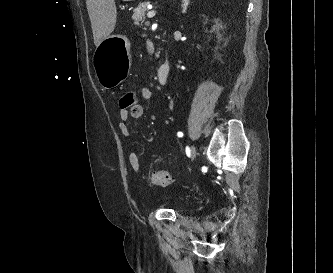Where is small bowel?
<instances>
[{
	"mask_svg": "<svg viewBox=\"0 0 333 273\" xmlns=\"http://www.w3.org/2000/svg\"><path fill=\"white\" fill-rule=\"evenodd\" d=\"M141 97L145 101H150L153 98V91L149 87H143L141 89ZM144 114V107L139 102H135L133 104L132 109H120L119 110V121L117 124V128L119 133L123 137L129 136V129L127 126V122L130 118H141ZM128 163L131 169L137 174L141 173V165L139 161V157L135 152H130L128 154Z\"/></svg>",
	"mask_w": 333,
	"mask_h": 273,
	"instance_id": "small-bowel-1",
	"label": "small bowel"
}]
</instances>
